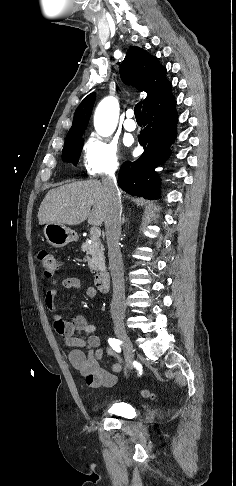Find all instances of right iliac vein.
Here are the masks:
<instances>
[{
    "label": "right iliac vein",
    "mask_w": 236,
    "mask_h": 486,
    "mask_svg": "<svg viewBox=\"0 0 236 486\" xmlns=\"http://www.w3.org/2000/svg\"><path fill=\"white\" fill-rule=\"evenodd\" d=\"M114 330L118 339L123 343V347L126 354V360L129 368H132V361L134 359V347L127 334L124 323L117 319L114 321Z\"/></svg>",
    "instance_id": "63e3f726"
}]
</instances>
